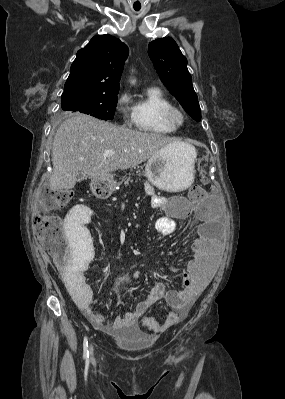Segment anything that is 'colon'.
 Instances as JSON below:
<instances>
[{
    "mask_svg": "<svg viewBox=\"0 0 285 399\" xmlns=\"http://www.w3.org/2000/svg\"><path fill=\"white\" fill-rule=\"evenodd\" d=\"M68 196L69 194L67 193L62 195L55 191L49 192L46 190L42 195L41 207L44 210L58 207ZM204 196L205 190L202 186L195 184L189 188V198L191 200H200ZM87 228L89 229L88 226ZM32 232L38 239L41 247L54 259L57 267L61 271L67 272L71 268V255L69 253L68 239L66 232L64 231L63 221L53 213H39L33 221ZM73 250L81 256L82 248L80 245H77ZM92 253L93 245L90 240L86 258H91ZM170 318L171 320L176 321L178 315L170 313ZM142 323L146 328L151 329L159 324V321L152 315H146L142 318Z\"/></svg>",
    "mask_w": 285,
    "mask_h": 399,
    "instance_id": "1",
    "label": "colon"
}]
</instances>
